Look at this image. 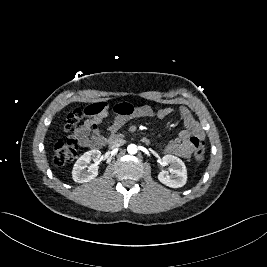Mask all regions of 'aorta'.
I'll use <instances>...</instances> for the list:
<instances>
[{
    "instance_id": "aorta-1",
    "label": "aorta",
    "mask_w": 267,
    "mask_h": 267,
    "mask_svg": "<svg viewBox=\"0 0 267 267\" xmlns=\"http://www.w3.org/2000/svg\"><path fill=\"white\" fill-rule=\"evenodd\" d=\"M127 151L129 154H136L138 152V147L135 144H130L127 147Z\"/></svg>"
}]
</instances>
